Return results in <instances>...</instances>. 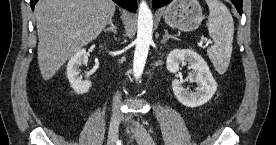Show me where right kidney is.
Here are the masks:
<instances>
[{
  "label": "right kidney",
  "mask_w": 276,
  "mask_h": 145,
  "mask_svg": "<svg viewBox=\"0 0 276 145\" xmlns=\"http://www.w3.org/2000/svg\"><path fill=\"white\" fill-rule=\"evenodd\" d=\"M88 62V55L85 49L77 51L67 64V77L73 90L77 94L86 93L91 87V82L83 81L80 75V67Z\"/></svg>",
  "instance_id": "ca27d5eb"
}]
</instances>
